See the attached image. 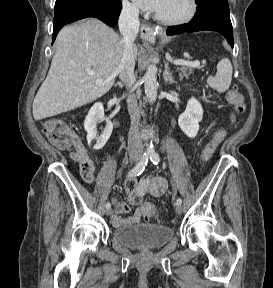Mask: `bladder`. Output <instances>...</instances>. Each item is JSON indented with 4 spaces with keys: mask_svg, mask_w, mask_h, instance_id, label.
<instances>
[{
    "mask_svg": "<svg viewBox=\"0 0 273 288\" xmlns=\"http://www.w3.org/2000/svg\"><path fill=\"white\" fill-rule=\"evenodd\" d=\"M112 237L125 248L146 251L166 245L174 237V232L164 225L135 223L118 226Z\"/></svg>",
    "mask_w": 273,
    "mask_h": 288,
    "instance_id": "31cf9c89",
    "label": "bladder"
}]
</instances>
